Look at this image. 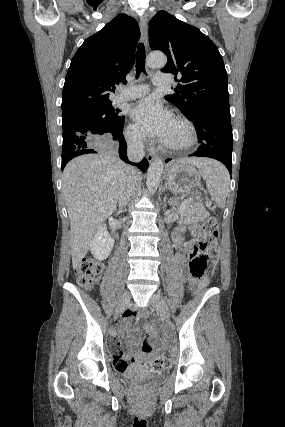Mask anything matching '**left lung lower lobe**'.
Masks as SVG:
<instances>
[{"label":"left lung lower lobe","mask_w":285,"mask_h":427,"mask_svg":"<svg viewBox=\"0 0 285 427\" xmlns=\"http://www.w3.org/2000/svg\"><path fill=\"white\" fill-rule=\"evenodd\" d=\"M189 120L194 123L200 142L198 150L189 156L214 158L231 172L233 135L230 113L204 109L195 112Z\"/></svg>","instance_id":"left-lung-lower-lobe-1"}]
</instances>
